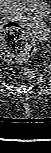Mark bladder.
<instances>
[{
    "instance_id": "bladder-1",
    "label": "bladder",
    "mask_w": 51,
    "mask_h": 153,
    "mask_svg": "<svg viewBox=\"0 0 51 153\" xmlns=\"http://www.w3.org/2000/svg\"><path fill=\"white\" fill-rule=\"evenodd\" d=\"M0 7L6 14H21L47 18L50 15L49 5L45 0H0Z\"/></svg>"
}]
</instances>
